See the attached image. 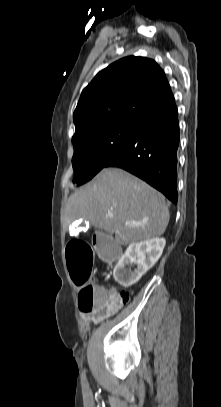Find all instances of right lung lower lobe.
I'll return each instance as SVG.
<instances>
[{
  "label": "right lung lower lobe",
  "mask_w": 221,
  "mask_h": 407,
  "mask_svg": "<svg viewBox=\"0 0 221 407\" xmlns=\"http://www.w3.org/2000/svg\"><path fill=\"white\" fill-rule=\"evenodd\" d=\"M179 121L175 99L143 118L126 143L104 164L123 168L177 203Z\"/></svg>",
  "instance_id": "1"
}]
</instances>
